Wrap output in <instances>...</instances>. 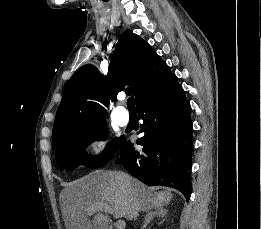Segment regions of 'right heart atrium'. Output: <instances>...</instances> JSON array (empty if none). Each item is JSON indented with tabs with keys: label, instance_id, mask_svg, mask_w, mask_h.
Returning <instances> with one entry per match:
<instances>
[{
	"label": "right heart atrium",
	"instance_id": "d8ad5b80",
	"mask_svg": "<svg viewBox=\"0 0 261 229\" xmlns=\"http://www.w3.org/2000/svg\"><path fill=\"white\" fill-rule=\"evenodd\" d=\"M108 135L104 130L96 131L90 140L91 152L94 158H100L105 153L108 146Z\"/></svg>",
	"mask_w": 261,
	"mask_h": 229
}]
</instances>
